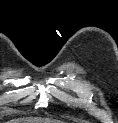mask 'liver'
<instances>
[{"label":"liver","instance_id":"obj_1","mask_svg":"<svg viewBox=\"0 0 118 123\" xmlns=\"http://www.w3.org/2000/svg\"><path fill=\"white\" fill-rule=\"evenodd\" d=\"M8 123H61V122L43 118H21L10 120Z\"/></svg>","mask_w":118,"mask_h":123}]
</instances>
